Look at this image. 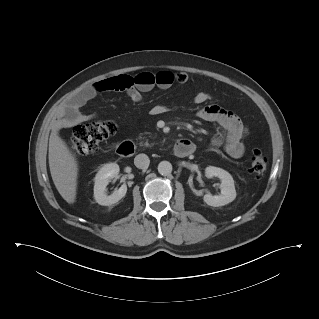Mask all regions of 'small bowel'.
<instances>
[{"label":"small bowel","mask_w":319,"mask_h":319,"mask_svg":"<svg viewBox=\"0 0 319 319\" xmlns=\"http://www.w3.org/2000/svg\"><path fill=\"white\" fill-rule=\"evenodd\" d=\"M131 80L132 77L128 75H114L103 78L87 87L65 104L55 121L54 130L94 119L95 114L83 113L81 108L98 94L125 90L133 102H140L142 92H147L154 86L168 89L173 83L184 84L187 81V75L183 72L174 74L169 71H161L155 74V83L152 85L124 87V84ZM209 100L210 95L204 91L197 92L194 96L196 104H204ZM165 110V106L156 105L151 109V112L154 115H159L164 113ZM197 117L203 121L215 123L219 128V131L211 140L212 148H223L230 157L235 159L244 155L245 146L243 141L248 134V129L235 113L219 105L209 104L197 111Z\"/></svg>","instance_id":"1"}]
</instances>
